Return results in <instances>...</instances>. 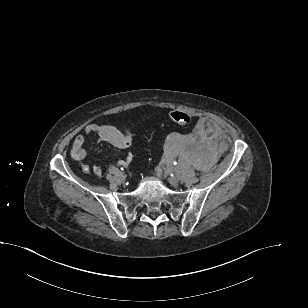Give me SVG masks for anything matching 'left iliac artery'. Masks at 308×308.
<instances>
[{
	"instance_id": "44dca946",
	"label": "left iliac artery",
	"mask_w": 308,
	"mask_h": 308,
	"mask_svg": "<svg viewBox=\"0 0 308 308\" xmlns=\"http://www.w3.org/2000/svg\"><path fill=\"white\" fill-rule=\"evenodd\" d=\"M177 164V162H174V165H176Z\"/></svg>"
}]
</instances>
